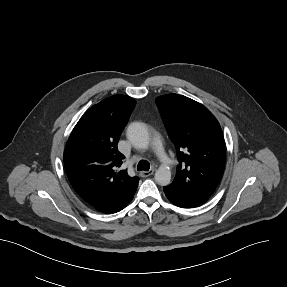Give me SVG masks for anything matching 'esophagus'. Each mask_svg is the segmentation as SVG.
I'll return each mask as SVG.
<instances>
[{
    "label": "esophagus",
    "mask_w": 287,
    "mask_h": 287,
    "mask_svg": "<svg viewBox=\"0 0 287 287\" xmlns=\"http://www.w3.org/2000/svg\"><path fill=\"white\" fill-rule=\"evenodd\" d=\"M154 173V169H151L149 171H141L140 176L141 177H148L151 176Z\"/></svg>",
    "instance_id": "34e87169"
}]
</instances>
